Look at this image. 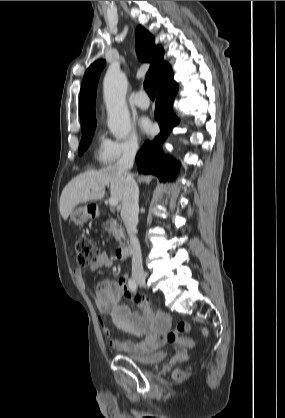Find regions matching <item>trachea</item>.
Listing matches in <instances>:
<instances>
[{"label": "trachea", "instance_id": "3493384b", "mask_svg": "<svg viewBox=\"0 0 285 418\" xmlns=\"http://www.w3.org/2000/svg\"><path fill=\"white\" fill-rule=\"evenodd\" d=\"M144 88H145V90L148 93L150 98H155L156 90H155L154 83L152 82L151 79H146L144 81Z\"/></svg>", "mask_w": 285, "mask_h": 418}]
</instances>
